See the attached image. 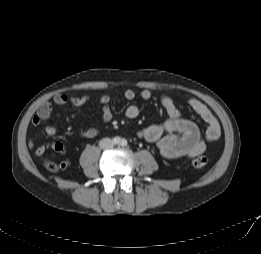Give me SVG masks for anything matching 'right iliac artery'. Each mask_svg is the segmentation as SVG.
I'll return each mask as SVG.
<instances>
[{
    "label": "right iliac artery",
    "mask_w": 261,
    "mask_h": 254,
    "mask_svg": "<svg viewBox=\"0 0 261 254\" xmlns=\"http://www.w3.org/2000/svg\"><path fill=\"white\" fill-rule=\"evenodd\" d=\"M113 142H114V144H119L120 138H119V137H115V138L113 139Z\"/></svg>",
    "instance_id": "1"
}]
</instances>
